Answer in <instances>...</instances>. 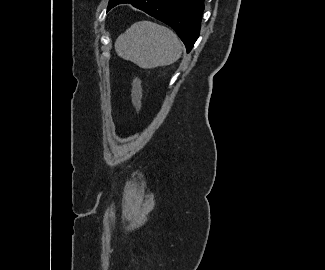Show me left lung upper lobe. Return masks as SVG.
Masks as SVG:
<instances>
[{"label": "left lung upper lobe", "mask_w": 325, "mask_h": 270, "mask_svg": "<svg viewBox=\"0 0 325 270\" xmlns=\"http://www.w3.org/2000/svg\"><path fill=\"white\" fill-rule=\"evenodd\" d=\"M119 0H109L108 10L111 9Z\"/></svg>", "instance_id": "left-lung-upper-lobe-1"}]
</instances>
